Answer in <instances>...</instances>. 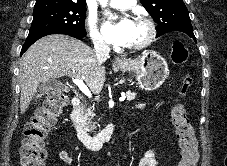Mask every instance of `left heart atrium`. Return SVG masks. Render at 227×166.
Segmentation results:
<instances>
[{"instance_id":"39dd6f15","label":"left heart atrium","mask_w":227,"mask_h":166,"mask_svg":"<svg viewBox=\"0 0 227 166\" xmlns=\"http://www.w3.org/2000/svg\"><path fill=\"white\" fill-rule=\"evenodd\" d=\"M133 21L129 18H121L119 20L109 19L105 21L103 30L109 41L112 43H127L132 30Z\"/></svg>"}]
</instances>
